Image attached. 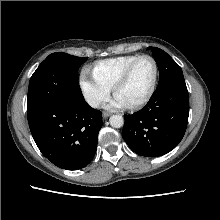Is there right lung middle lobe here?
Returning a JSON list of instances; mask_svg holds the SVG:
<instances>
[{"mask_svg": "<svg viewBox=\"0 0 220 220\" xmlns=\"http://www.w3.org/2000/svg\"><path fill=\"white\" fill-rule=\"evenodd\" d=\"M87 58L63 52L50 54L30 79L27 109L49 102L65 105L83 102L77 72Z\"/></svg>", "mask_w": 220, "mask_h": 220, "instance_id": "right-lung-middle-lobe-1", "label": "right lung middle lobe"}]
</instances>
